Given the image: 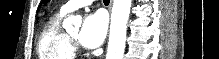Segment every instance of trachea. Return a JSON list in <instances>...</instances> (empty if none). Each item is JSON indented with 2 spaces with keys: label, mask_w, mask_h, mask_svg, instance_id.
<instances>
[{
  "label": "trachea",
  "mask_w": 219,
  "mask_h": 59,
  "mask_svg": "<svg viewBox=\"0 0 219 59\" xmlns=\"http://www.w3.org/2000/svg\"><path fill=\"white\" fill-rule=\"evenodd\" d=\"M103 2L109 4L110 0H103Z\"/></svg>",
  "instance_id": "3493384b"
}]
</instances>
